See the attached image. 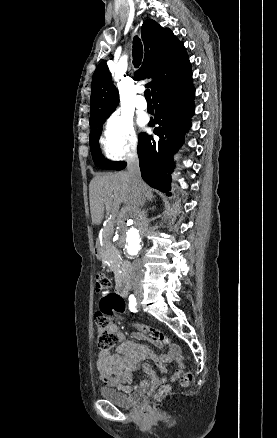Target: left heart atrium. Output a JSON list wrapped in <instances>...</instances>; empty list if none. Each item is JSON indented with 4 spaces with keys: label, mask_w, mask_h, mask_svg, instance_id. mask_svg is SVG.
Instances as JSON below:
<instances>
[{
    "label": "left heart atrium",
    "mask_w": 277,
    "mask_h": 438,
    "mask_svg": "<svg viewBox=\"0 0 277 438\" xmlns=\"http://www.w3.org/2000/svg\"><path fill=\"white\" fill-rule=\"evenodd\" d=\"M145 121H146V119H145V118H142V119H141V124H144Z\"/></svg>",
    "instance_id": "obj_1"
}]
</instances>
